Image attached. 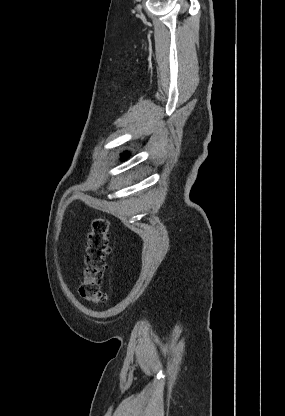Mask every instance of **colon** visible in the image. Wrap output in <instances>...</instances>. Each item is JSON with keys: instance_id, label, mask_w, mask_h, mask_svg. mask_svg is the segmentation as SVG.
Masks as SVG:
<instances>
[{"instance_id": "1", "label": "colon", "mask_w": 285, "mask_h": 416, "mask_svg": "<svg viewBox=\"0 0 285 416\" xmlns=\"http://www.w3.org/2000/svg\"><path fill=\"white\" fill-rule=\"evenodd\" d=\"M109 228L108 220L97 218L92 222L87 238L84 279L79 293L83 299L94 305L106 301V295L101 288V281L110 253Z\"/></svg>"}]
</instances>
